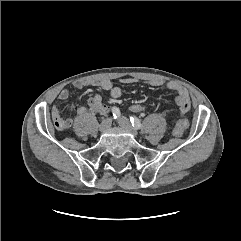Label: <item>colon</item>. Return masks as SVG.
Listing matches in <instances>:
<instances>
[{
  "mask_svg": "<svg viewBox=\"0 0 241 241\" xmlns=\"http://www.w3.org/2000/svg\"><path fill=\"white\" fill-rule=\"evenodd\" d=\"M146 109L145 105L142 103H134L130 106V111L133 113L140 114L144 112ZM189 126V121L187 119H179L176 122L175 128H174V134L176 136H181L184 131L188 128Z\"/></svg>",
  "mask_w": 241,
  "mask_h": 241,
  "instance_id": "colon-1",
  "label": "colon"
}]
</instances>
